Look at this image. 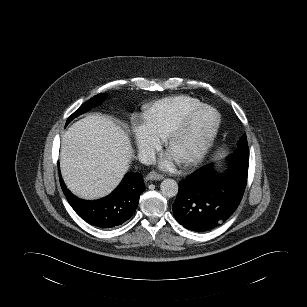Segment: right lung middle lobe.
I'll return each instance as SVG.
<instances>
[{
	"label": "right lung middle lobe",
	"instance_id": "dd1d6c3e",
	"mask_svg": "<svg viewBox=\"0 0 307 307\" xmlns=\"http://www.w3.org/2000/svg\"><path fill=\"white\" fill-rule=\"evenodd\" d=\"M103 101V94H99L82 104L67 120L66 125L75 117L79 116L88 109L97 106Z\"/></svg>",
	"mask_w": 307,
	"mask_h": 307
}]
</instances>
